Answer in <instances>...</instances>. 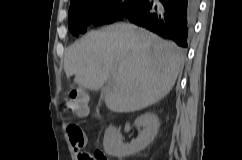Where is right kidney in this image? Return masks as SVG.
<instances>
[{"label":"right kidney","mask_w":242,"mask_h":160,"mask_svg":"<svg viewBox=\"0 0 242 160\" xmlns=\"http://www.w3.org/2000/svg\"><path fill=\"white\" fill-rule=\"evenodd\" d=\"M137 128H143L134 141L124 144L120 131L109 126L104 134L103 147L109 156L123 158L144 150L156 137L159 129V120L153 113H145L135 120Z\"/></svg>","instance_id":"obj_1"}]
</instances>
